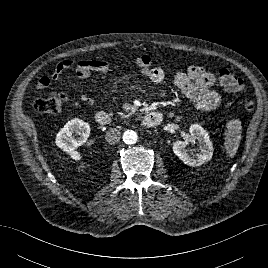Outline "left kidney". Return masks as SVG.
Segmentation results:
<instances>
[{
	"instance_id": "left-kidney-1",
	"label": "left kidney",
	"mask_w": 268,
	"mask_h": 268,
	"mask_svg": "<svg viewBox=\"0 0 268 268\" xmlns=\"http://www.w3.org/2000/svg\"><path fill=\"white\" fill-rule=\"evenodd\" d=\"M189 132L192 137V141H198L201 152L197 154L189 153L186 149L189 144L188 141H176L173 144V152L186 165L193 167L200 166L212 159L213 145L208 133L199 124H192L189 128Z\"/></svg>"
}]
</instances>
